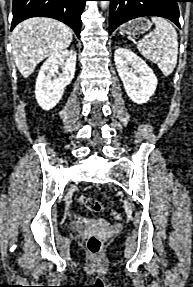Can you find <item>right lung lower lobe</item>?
<instances>
[{
    "instance_id": "obj_1",
    "label": "right lung lower lobe",
    "mask_w": 193,
    "mask_h": 287,
    "mask_svg": "<svg viewBox=\"0 0 193 287\" xmlns=\"http://www.w3.org/2000/svg\"><path fill=\"white\" fill-rule=\"evenodd\" d=\"M87 0H13L11 30L31 17H50L70 26L80 38L81 19Z\"/></svg>"
}]
</instances>
